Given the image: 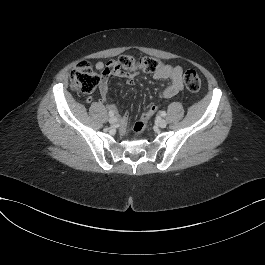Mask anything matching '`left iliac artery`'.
I'll list each match as a JSON object with an SVG mask.
<instances>
[{
  "label": "left iliac artery",
  "instance_id": "1",
  "mask_svg": "<svg viewBox=\"0 0 265 265\" xmlns=\"http://www.w3.org/2000/svg\"><path fill=\"white\" fill-rule=\"evenodd\" d=\"M161 116L165 117L166 116V112L165 111H162L161 112Z\"/></svg>",
  "mask_w": 265,
  "mask_h": 265
}]
</instances>
